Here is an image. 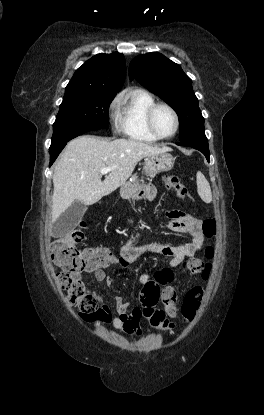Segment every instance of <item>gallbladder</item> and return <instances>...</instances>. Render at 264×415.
Here are the masks:
<instances>
[{
    "label": "gallbladder",
    "instance_id": "1",
    "mask_svg": "<svg viewBox=\"0 0 264 415\" xmlns=\"http://www.w3.org/2000/svg\"><path fill=\"white\" fill-rule=\"evenodd\" d=\"M87 210V206L75 201L71 206L56 220L53 226L52 235L54 237H61L72 232Z\"/></svg>",
    "mask_w": 264,
    "mask_h": 415
}]
</instances>
